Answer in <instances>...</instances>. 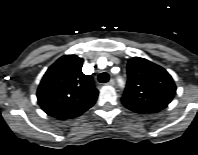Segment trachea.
<instances>
[{"label":"trachea","instance_id":"3493384b","mask_svg":"<svg viewBox=\"0 0 198 155\" xmlns=\"http://www.w3.org/2000/svg\"><path fill=\"white\" fill-rule=\"evenodd\" d=\"M98 81L100 83H106L109 81V75L107 73H101L98 76Z\"/></svg>","mask_w":198,"mask_h":155}]
</instances>
